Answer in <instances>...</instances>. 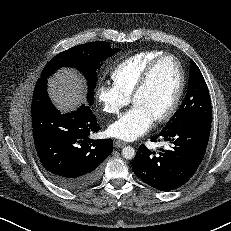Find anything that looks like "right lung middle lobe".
<instances>
[{
	"label": "right lung middle lobe",
	"instance_id": "obj_1",
	"mask_svg": "<svg viewBox=\"0 0 231 231\" xmlns=\"http://www.w3.org/2000/svg\"><path fill=\"white\" fill-rule=\"evenodd\" d=\"M118 48H111L108 42H90L72 47L52 58L44 67L41 77L48 78L61 67H74L87 76L89 90L87 98L89 104L93 102L96 87V71L102 62L118 52Z\"/></svg>",
	"mask_w": 231,
	"mask_h": 231
}]
</instances>
